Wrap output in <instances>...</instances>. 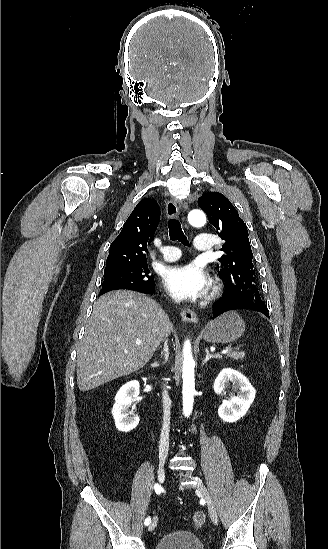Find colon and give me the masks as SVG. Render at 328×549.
I'll return each mask as SVG.
<instances>
[{
	"label": "colon",
	"instance_id": "colon-1",
	"mask_svg": "<svg viewBox=\"0 0 328 549\" xmlns=\"http://www.w3.org/2000/svg\"><path fill=\"white\" fill-rule=\"evenodd\" d=\"M206 521V516L201 511H196L192 515V524L196 528H200Z\"/></svg>",
	"mask_w": 328,
	"mask_h": 549
}]
</instances>
